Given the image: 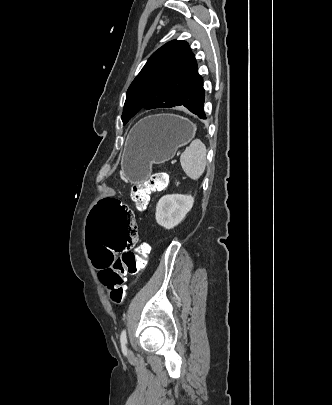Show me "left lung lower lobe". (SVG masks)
I'll list each match as a JSON object with an SVG mask.
<instances>
[{
    "label": "left lung lower lobe",
    "mask_w": 332,
    "mask_h": 405,
    "mask_svg": "<svg viewBox=\"0 0 332 405\" xmlns=\"http://www.w3.org/2000/svg\"><path fill=\"white\" fill-rule=\"evenodd\" d=\"M204 102H205V90L203 88V83H202L201 89H200V92L198 95V101L192 109H189V111L198 115L199 118H201V119H206L205 112L203 110Z\"/></svg>",
    "instance_id": "1"
}]
</instances>
